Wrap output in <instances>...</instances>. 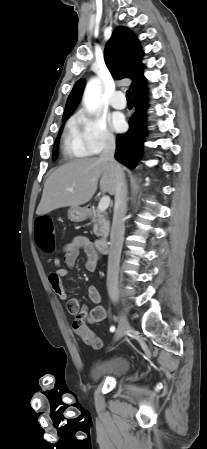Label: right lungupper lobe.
I'll use <instances>...</instances> for the list:
<instances>
[{"instance_id": "obj_1", "label": "right lung upper lobe", "mask_w": 207, "mask_h": 449, "mask_svg": "<svg viewBox=\"0 0 207 449\" xmlns=\"http://www.w3.org/2000/svg\"><path fill=\"white\" fill-rule=\"evenodd\" d=\"M104 54L106 65L115 78H131L133 93L144 88L142 52L139 49L138 40L127 28L119 26L113 31L106 44ZM84 86V79L75 83L68 97L62 119H67L72 114L81 99Z\"/></svg>"}]
</instances>
